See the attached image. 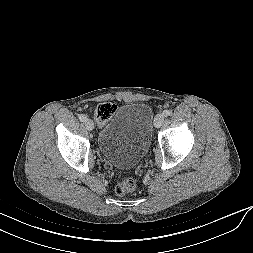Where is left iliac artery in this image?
I'll return each instance as SVG.
<instances>
[{
	"instance_id": "1",
	"label": "left iliac artery",
	"mask_w": 253,
	"mask_h": 253,
	"mask_svg": "<svg viewBox=\"0 0 253 253\" xmlns=\"http://www.w3.org/2000/svg\"><path fill=\"white\" fill-rule=\"evenodd\" d=\"M171 113H172L171 110H164L162 114L164 117H168L171 115Z\"/></svg>"
}]
</instances>
